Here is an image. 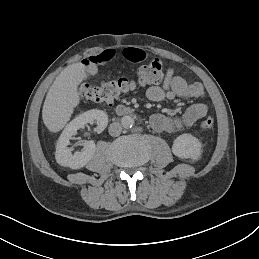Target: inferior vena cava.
<instances>
[{
	"mask_svg": "<svg viewBox=\"0 0 259 259\" xmlns=\"http://www.w3.org/2000/svg\"><path fill=\"white\" fill-rule=\"evenodd\" d=\"M122 132V126L118 122H114L109 126V134L111 136H119Z\"/></svg>",
	"mask_w": 259,
	"mask_h": 259,
	"instance_id": "obj_1",
	"label": "inferior vena cava"
}]
</instances>
